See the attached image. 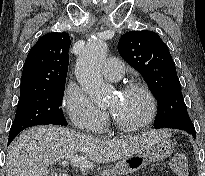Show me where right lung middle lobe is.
Instances as JSON below:
<instances>
[{"label":"right lung middle lobe","mask_w":205,"mask_h":176,"mask_svg":"<svg viewBox=\"0 0 205 176\" xmlns=\"http://www.w3.org/2000/svg\"><path fill=\"white\" fill-rule=\"evenodd\" d=\"M64 89L65 83L20 95L9 138H15L25 128L36 125H67L60 108Z\"/></svg>","instance_id":"1"}]
</instances>
